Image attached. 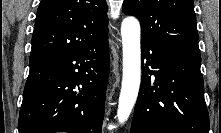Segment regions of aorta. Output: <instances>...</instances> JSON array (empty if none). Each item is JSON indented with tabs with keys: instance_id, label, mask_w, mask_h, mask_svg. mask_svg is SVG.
Segmentation results:
<instances>
[{
	"instance_id": "762f6f07",
	"label": "aorta",
	"mask_w": 221,
	"mask_h": 133,
	"mask_svg": "<svg viewBox=\"0 0 221 133\" xmlns=\"http://www.w3.org/2000/svg\"><path fill=\"white\" fill-rule=\"evenodd\" d=\"M141 28L139 21L134 17H127L121 25L123 45V78L117 118L124 123L130 116L137 100L141 82Z\"/></svg>"
}]
</instances>
